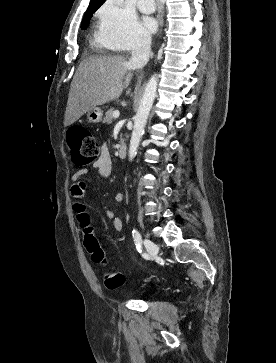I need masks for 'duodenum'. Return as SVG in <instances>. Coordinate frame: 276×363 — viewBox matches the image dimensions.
<instances>
[{
  "mask_svg": "<svg viewBox=\"0 0 276 363\" xmlns=\"http://www.w3.org/2000/svg\"><path fill=\"white\" fill-rule=\"evenodd\" d=\"M118 155L120 158H125L127 155V146L124 140H121L119 142V146H118Z\"/></svg>",
  "mask_w": 276,
  "mask_h": 363,
  "instance_id": "410a0bca",
  "label": "duodenum"
}]
</instances>
